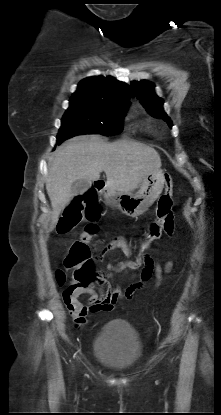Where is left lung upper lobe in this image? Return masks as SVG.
Instances as JSON below:
<instances>
[{"label": "left lung upper lobe", "mask_w": 221, "mask_h": 415, "mask_svg": "<svg viewBox=\"0 0 221 415\" xmlns=\"http://www.w3.org/2000/svg\"><path fill=\"white\" fill-rule=\"evenodd\" d=\"M131 87L146 110L154 117L163 119L169 127L172 121L163 110V100L154 92V84L149 81L131 82Z\"/></svg>", "instance_id": "5c2ea615"}]
</instances>
